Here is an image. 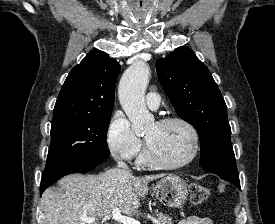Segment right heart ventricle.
<instances>
[{"label": "right heart ventricle", "mask_w": 275, "mask_h": 224, "mask_svg": "<svg viewBox=\"0 0 275 224\" xmlns=\"http://www.w3.org/2000/svg\"><path fill=\"white\" fill-rule=\"evenodd\" d=\"M139 163H141V164H145L146 162H145V159H144V156H140L139 157Z\"/></svg>", "instance_id": "right-heart-ventricle-1"}]
</instances>
